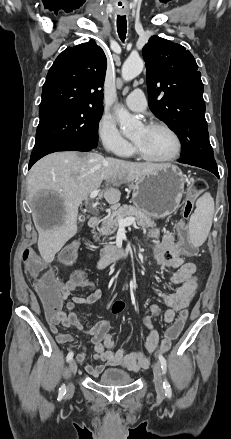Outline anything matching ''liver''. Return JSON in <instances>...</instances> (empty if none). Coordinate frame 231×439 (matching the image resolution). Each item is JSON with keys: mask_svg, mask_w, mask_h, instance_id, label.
Instances as JSON below:
<instances>
[{"mask_svg": "<svg viewBox=\"0 0 231 439\" xmlns=\"http://www.w3.org/2000/svg\"><path fill=\"white\" fill-rule=\"evenodd\" d=\"M167 164L134 163L103 157L98 153L57 152L39 160L29 171L27 189L33 201L39 194L52 195L60 201L54 214L38 217V250L42 259L51 263L65 243L77 233L78 208L103 181L105 200L113 205L121 197L119 186Z\"/></svg>", "mask_w": 231, "mask_h": 439, "instance_id": "1", "label": "liver"}]
</instances>
